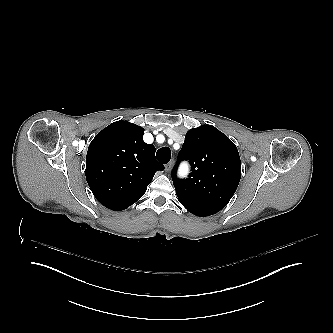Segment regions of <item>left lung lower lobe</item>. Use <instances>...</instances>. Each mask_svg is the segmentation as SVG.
<instances>
[{"label": "left lung lower lobe", "mask_w": 333, "mask_h": 333, "mask_svg": "<svg viewBox=\"0 0 333 333\" xmlns=\"http://www.w3.org/2000/svg\"><path fill=\"white\" fill-rule=\"evenodd\" d=\"M185 208H186L189 212H191L192 214H194V215H196V216L204 217V216L212 215V213L207 212V211L198 210V209L190 208V207H185Z\"/></svg>", "instance_id": "1"}]
</instances>
